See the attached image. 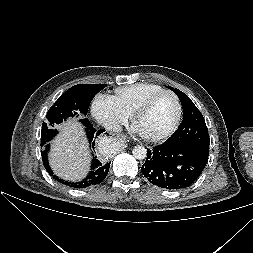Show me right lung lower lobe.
I'll use <instances>...</instances> for the list:
<instances>
[{
  "instance_id": "right-lung-lower-lobe-1",
  "label": "right lung lower lobe",
  "mask_w": 253,
  "mask_h": 253,
  "mask_svg": "<svg viewBox=\"0 0 253 253\" xmlns=\"http://www.w3.org/2000/svg\"><path fill=\"white\" fill-rule=\"evenodd\" d=\"M86 127H87L86 132H87L90 147H92L94 149L95 139L100 134H102L105 130L101 129V130L96 131V129L93 128V125L90 124L89 122L86 125ZM105 134H107V133H105ZM42 146L44 147V150L41 151L44 167L46 168L47 172L51 176H53V178L55 180L59 181L60 183H62L64 185H67V186H70L73 188H86V187L98 185L106 178V176L109 172L110 162H107L104 159H98L96 155H93V159L91 162V171L89 172L87 177L84 178L82 181L68 182L63 179H59L57 176H55L53 174V172L49 166V163H48L47 153L49 151V144L47 143L45 145H41V148H42Z\"/></svg>"
}]
</instances>
